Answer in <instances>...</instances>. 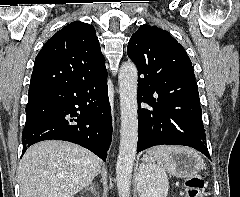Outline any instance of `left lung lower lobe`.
<instances>
[{
	"label": "left lung lower lobe",
	"instance_id": "0a47b994",
	"mask_svg": "<svg viewBox=\"0 0 240 197\" xmlns=\"http://www.w3.org/2000/svg\"><path fill=\"white\" fill-rule=\"evenodd\" d=\"M138 74L137 152L156 145H184L211 160L197 85L160 88L148 74ZM141 102L148 106L142 108Z\"/></svg>",
	"mask_w": 240,
	"mask_h": 197
}]
</instances>
